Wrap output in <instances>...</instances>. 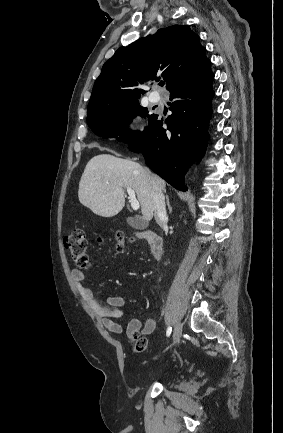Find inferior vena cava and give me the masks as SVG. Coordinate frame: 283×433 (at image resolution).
Segmentation results:
<instances>
[{"instance_id":"inferior-vena-cava-1","label":"inferior vena cava","mask_w":283,"mask_h":433,"mask_svg":"<svg viewBox=\"0 0 283 433\" xmlns=\"http://www.w3.org/2000/svg\"><path fill=\"white\" fill-rule=\"evenodd\" d=\"M153 202H154V217L157 223H160V225H163V223H167L168 217L165 208V196L163 192H158V190H156V186H154Z\"/></svg>"}]
</instances>
